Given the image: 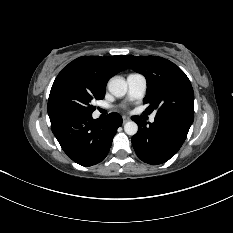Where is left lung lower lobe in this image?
Listing matches in <instances>:
<instances>
[{
	"instance_id": "left-lung-lower-lobe-1",
	"label": "left lung lower lobe",
	"mask_w": 233,
	"mask_h": 233,
	"mask_svg": "<svg viewBox=\"0 0 233 233\" xmlns=\"http://www.w3.org/2000/svg\"><path fill=\"white\" fill-rule=\"evenodd\" d=\"M138 132L132 137L137 156L144 162L158 165L169 160L184 143L192 123L176 117L156 115L153 123L146 125L140 117H133Z\"/></svg>"
}]
</instances>
